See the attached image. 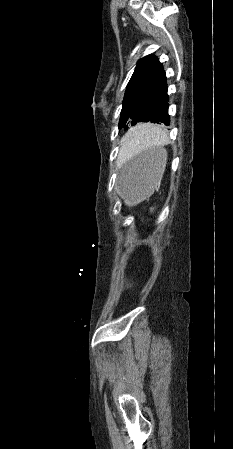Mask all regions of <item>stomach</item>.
<instances>
[{
  "mask_svg": "<svg viewBox=\"0 0 233 449\" xmlns=\"http://www.w3.org/2000/svg\"><path fill=\"white\" fill-rule=\"evenodd\" d=\"M166 163V151L154 147L144 151L129 162L122 171V192L118 199L131 206L140 201H150L158 186Z\"/></svg>",
  "mask_w": 233,
  "mask_h": 449,
  "instance_id": "obj_1",
  "label": "stomach"
}]
</instances>
